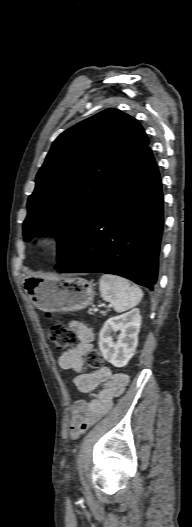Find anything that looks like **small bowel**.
I'll return each mask as SVG.
<instances>
[{
    "mask_svg": "<svg viewBox=\"0 0 192 527\" xmlns=\"http://www.w3.org/2000/svg\"><path fill=\"white\" fill-rule=\"evenodd\" d=\"M70 327L76 332L79 342L59 356L58 364L63 370L76 372L73 384L80 392L89 394L88 399L78 400L71 407L69 434L75 439L111 409L113 399L123 393L128 377L124 373H112L109 368L97 373H85L84 356L92 348L93 332L78 321H72Z\"/></svg>",
    "mask_w": 192,
    "mask_h": 527,
    "instance_id": "1",
    "label": "small bowel"
}]
</instances>
